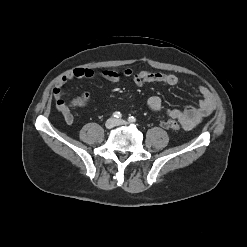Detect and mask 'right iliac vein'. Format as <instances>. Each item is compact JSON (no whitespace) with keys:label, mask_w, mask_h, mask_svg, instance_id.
Masks as SVG:
<instances>
[{"label":"right iliac vein","mask_w":247,"mask_h":247,"mask_svg":"<svg viewBox=\"0 0 247 247\" xmlns=\"http://www.w3.org/2000/svg\"><path fill=\"white\" fill-rule=\"evenodd\" d=\"M115 124H116V120L113 119V118H110V119H108V120L105 122V127H106L107 129H111V128H113V127L115 126Z\"/></svg>","instance_id":"obj_1"}]
</instances>
